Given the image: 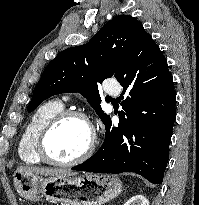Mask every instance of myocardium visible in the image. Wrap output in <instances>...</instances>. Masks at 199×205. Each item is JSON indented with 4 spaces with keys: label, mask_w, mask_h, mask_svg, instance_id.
<instances>
[{
    "label": "myocardium",
    "mask_w": 199,
    "mask_h": 205,
    "mask_svg": "<svg viewBox=\"0 0 199 205\" xmlns=\"http://www.w3.org/2000/svg\"><path fill=\"white\" fill-rule=\"evenodd\" d=\"M69 118H77L82 120L88 127L90 133L89 143L86 149L77 157L69 159V160H60L50 155L47 147L48 138L51 132L64 120ZM96 146V134L94 127L89 120L88 116L77 110H62L59 113L55 114L50 120H48L43 127L38 132L36 138V153L40 157V159L48 164L67 167L73 166L78 163L83 162L88 159L94 152Z\"/></svg>",
    "instance_id": "myocardium-1"
}]
</instances>
